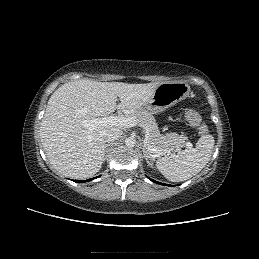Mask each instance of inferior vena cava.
Returning <instances> with one entry per match:
<instances>
[{"label": "inferior vena cava", "mask_w": 259, "mask_h": 259, "mask_svg": "<svg viewBox=\"0 0 259 259\" xmlns=\"http://www.w3.org/2000/svg\"><path fill=\"white\" fill-rule=\"evenodd\" d=\"M122 131L118 128H111L104 135L105 142L111 143L120 138Z\"/></svg>", "instance_id": "602c4592"}]
</instances>
